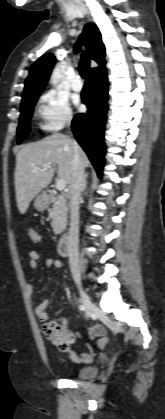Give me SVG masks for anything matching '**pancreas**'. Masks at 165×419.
Wrapping results in <instances>:
<instances>
[{
	"label": "pancreas",
	"instance_id": "1",
	"mask_svg": "<svg viewBox=\"0 0 165 419\" xmlns=\"http://www.w3.org/2000/svg\"><path fill=\"white\" fill-rule=\"evenodd\" d=\"M68 206L64 196L54 197L53 207L50 209L51 226L55 234H60L67 222Z\"/></svg>",
	"mask_w": 165,
	"mask_h": 419
}]
</instances>
